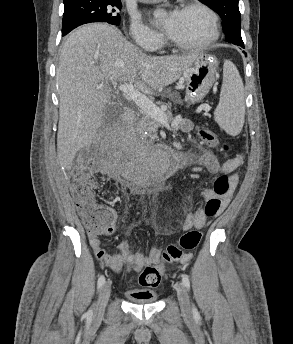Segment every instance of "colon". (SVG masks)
<instances>
[{"instance_id":"colon-1","label":"colon","mask_w":293,"mask_h":344,"mask_svg":"<svg viewBox=\"0 0 293 344\" xmlns=\"http://www.w3.org/2000/svg\"><path fill=\"white\" fill-rule=\"evenodd\" d=\"M200 136L203 141L211 146L217 147L219 139L216 134L209 129H201ZM228 150L227 146L223 147ZM96 181L91 173H83L77 176L72 184V194L76 200V209L82 218L85 227L91 237L108 235L114 231L115 217L113 212L96 204L94 199V189ZM215 197L206 202L205 214L208 217L216 216L221 208L222 198L226 197L231 190V181L227 175L219 176L214 182ZM202 233L193 229L185 232L179 241L170 244L162 253L160 260L147 266L141 273L139 281L143 286L156 288L161 283V278L166 265L180 261L186 254L194 251L200 241Z\"/></svg>"}]
</instances>
